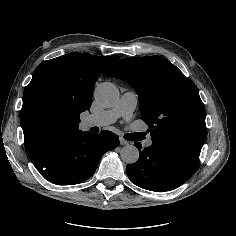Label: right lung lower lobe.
I'll return each instance as SVG.
<instances>
[{
    "instance_id": "right-lung-lower-lobe-1",
    "label": "right lung lower lobe",
    "mask_w": 236,
    "mask_h": 236,
    "mask_svg": "<svg viewBox=\"0 0 236 236\" xmlns=\"http://www.w3.org/2000/svg\"><path fill=\"white\" fill-rule=\"evenodd\" d=\"M118 145V136L110 131H80L59 143L36 168L51 183L78 184L91 177L102 155Z\"/></svg>"
}]
</instances>
